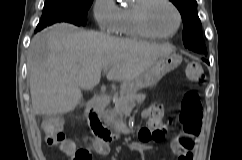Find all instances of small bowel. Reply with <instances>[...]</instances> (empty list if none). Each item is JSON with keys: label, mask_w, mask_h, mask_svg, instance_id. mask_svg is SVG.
<instances>
[{"label": "small bowel", "mask_w": 242, "mask_h": 160, "mask_svg": "<svg viewBox=\"0 0 242 160\" xmlns=\"http://www.w3.org/2000/svg\"><path fill=\"white\" fill-rule=\"evenodd\" d=\"M160 125H161V121L159 118L152 120L146 128H143L140 130L139 132L140 140L142 142H149L150 140H152L144 137L142 132L145 129H148L151 132L157 129L161 130ZM198 134L191 135V134L183 133L178 139H173L170 142V148L173 151V153L177 156V160H194V150H195V144H196V137L198 136ZM65 151L68 154L73 155L75 153L74 145L71 142H69V147L66 148Z\"/></svg>", "instance_id": "1"}]
</instances>
